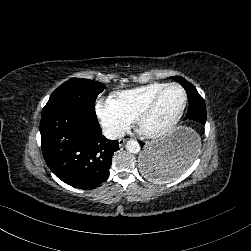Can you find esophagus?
Masks as SVG:
<instances>
[{"mask_svg":"<svg viewBox=\"0 0 251 251\" xmlns=\"http://www.w3.org/2000/svg\"><path fill=\"white\" fill-rule=\"evenodd\" d=\"M126 141H127L126 138H121V139H119V140H118L119 146H120V147L123 146V144H124Z\"/></svg>","mask_w":251,"mask_h":251,"instance_id":"1","label":"esophagus"}]
</instances>
